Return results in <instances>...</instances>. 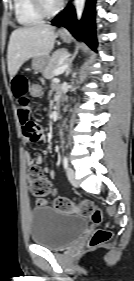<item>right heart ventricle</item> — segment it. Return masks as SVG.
Wrapping results in <instances>:
<instances>
[{"label": "right heart ventricle", "mask_w": 134, "mask_h": 281, "mask_svg": "<svg viewBox=\"0 0 134 281\" xmlns=\"http://www.w3.org/2000/svg\"><path fill=\"white\" fill-rule=\"evenodd\" d=\"M13 7L16 20L22 26H33L43 20L32 0H13Z\"/></svg>", "instance_id": "e07e8e85"}]
</instances>
